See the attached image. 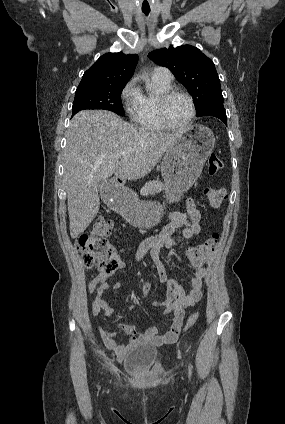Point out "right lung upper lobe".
<instances>
[{
  "label": "right lung upper lobe",
  "instance_id": "obj_1",
  "mask_svg": "<svg viewBox=\"0 0 285 424\" xmlns=\"http://www.w3.org/2000/svg\"><path fill=\"white\" fill-rule=\"evenodd\" d=\"M138 62V55L106 53L88 69L78 87L127 83Z\"/></svg>",
  "mask_w": 285,
  "mask_h": 424
}]
</instances>
